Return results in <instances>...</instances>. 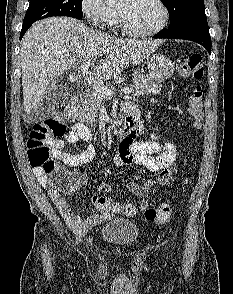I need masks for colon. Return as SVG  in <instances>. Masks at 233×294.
<instances>
[{
  "instance_id": "obj_1",
  "label": "colon",
  "mask_w": 233,
  "mask_h": 294,
  "mask_svg": "<svg viewBox=\"0 0 233 294\" xmlns=\"http://www.w3.org/2000/svg\"><path fill=\"white\" fill-rule=\"evenodd\" d=\"M184 77L200 81L204 74L202 56L199 53H189L180 67ZM203 88L197 84L191 91L188 99V109L196 126L203 120ZM66 130L63 118L54 114L33 125L27 142L28 159L33 168L40 169L49 177L54 188L64 193H72L78 188L76 176L66 170L63 159L57 154L55 140L61 137ZM122 212L134 215L137 212L135 205L126 203L122 205ZM172 211L168 204H160L145 210L148 220L158 225L166 224Z\"/></svg>"
}]
</instances>
